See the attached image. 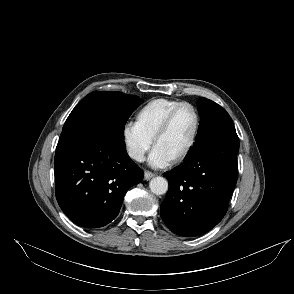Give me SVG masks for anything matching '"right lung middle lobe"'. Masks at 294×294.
I'll list each match as a JSON object with an SVG mask.
<instances>
[{
	"label": "right lung middle lobe",
	"mask_w": 294,
	"mask_h": 294,
	"mask_svg": "<svg viewBox=\"0 0 294 294\" xmlns=\"http://www.w3.org/2000/svg\"><path fill=\"white\" fill-rule=\"evenodd\" d=\"M140 103V97L121 92L88 94L67 118L56 149L72 142L95 139L124 141V126Z\"/></svg>",
	"instance_id": "1"
}]
</instances>
